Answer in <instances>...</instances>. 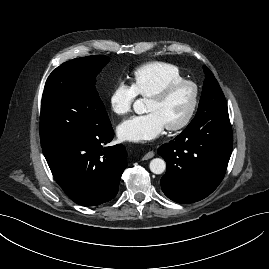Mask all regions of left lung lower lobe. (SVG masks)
Instances as JSON below:
<instances>
[{"label": "left lung lower lobe", "instance_id": "obj_1", "mask_svg": "<svg viewBox=\"0 0 269 269\" xmlns=\"http://www.w3.org/2000/svg\"><path fill=\"white\" fill-rule=\"evenodd\" d=\"M232 144L229 119L187 126L158 149L167 163L161 178L164 194L177 203H193L207 197L224 177Z\"/></svg>", "mask_w": 269, "mask_h": 269}]
</instances>
